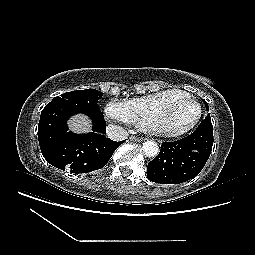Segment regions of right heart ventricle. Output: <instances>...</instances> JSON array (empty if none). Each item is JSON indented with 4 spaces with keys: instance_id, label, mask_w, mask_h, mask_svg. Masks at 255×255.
<instances>
[{
    "instance_id": "e07e8e85",
    "label": "right heart ventricle",
    "mask_w": 255,
    "mask_h": 255,
    "mask_svg": "<svg viewBox=\"0 0 255 255\" xmlns=\"http://www.w3.org/2000/svg\"><path fill=\"white\" fill-rule=\"evenodd\" d=\"M185 91L167 89L140 98L125 101L128 122L136 127H144L149 117L169 100L180 96Z\"/></svg>"
}]
</instances>
